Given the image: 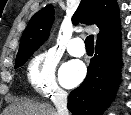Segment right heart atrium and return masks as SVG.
Wrapping results in <instances>:
<instances>
[{
    "label": "right heart atrium",
    "mask_w": 131,
    "mask_h": 115,
    "mask_svg": "<svg viewBox=\"0 0 131 115\" xmlns=\"http://www.w3.org/2000/svg\"><path fill=\"white\" fill-rule=\"evenodd\" d=\"M57 60L50 51L36 54L28 63L26 75L31 87L44 97L64 98L65 92L58 85L55 75Z\"/></svg>",
    "instance_id": "right-heart-atrium-1"
}]
</instances>
